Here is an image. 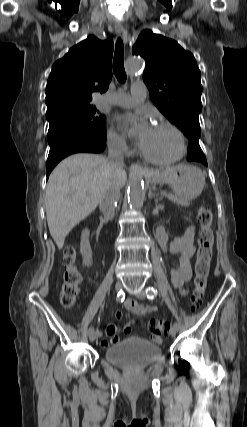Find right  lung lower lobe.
Segmentation results:
<instances>
[{
    "label": "right lung lower lobe",
    "instance_id": "right-lung-lower-lobe-1",
    "mask_svg": "<svg viewBox=\"0 0 247 427\" xmlns=\"http://www.w3.org/2000/svg\"><path fill=\"white\" fill-rule=\"evenodd\" d=\"M47 139L50 146L46 168L47 177L66 156L79 152L101 153L106 147L105 140L64 122L50 123Z\"/></svg>",
    "mask_w": 247,
    "mask_h": 427
}]
</instances>
